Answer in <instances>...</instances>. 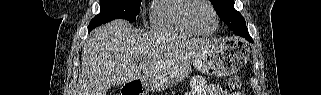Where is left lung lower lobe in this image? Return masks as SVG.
Listing matches in <instances>:
<instances>
[{
	"label": "left lung lower lobe",
	"instance_id": "obj_1",
	"mask_svg": "<svg viewBox=\"0 0 321 95\" xmlns=\"http://www.w3.org/2000/svg\"><path fill=\"white\" fill-rule=\"evenodd\" d=\"M238 35L241 36V37H244V38L247 39L248 41L253 42V41H252V38L249 36L248 30L239 32Z\"/></svg>",
	"mask_w": 321,
	"mask_h": 95
}]
</instances>
